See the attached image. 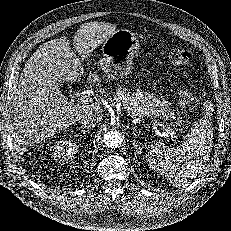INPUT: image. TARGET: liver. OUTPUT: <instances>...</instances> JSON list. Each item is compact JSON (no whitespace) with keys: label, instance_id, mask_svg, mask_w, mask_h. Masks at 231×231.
Listing matches in <instances>:
<instances>
[{"label":"liver","instance_id":"6515ba94","mask_svg":"<svg viewBox=\"0 0 231 231\" xmlns=\"http://www.w3.org/2000/svg\"><path fill=\"white\" fill-rule=\"evenodd\" d=\"M115 30L116 25L106 22L83 24L75 33L74 49L86 59ZM83 72L66 36L43 43L31 55L19 79L8 127L16 153L76 123L87 112L102 120L101 101L73 103L60 90L59 78L73 83Z\"/></svg>","mask_w":231,"mask_h":231}]
</instances>
